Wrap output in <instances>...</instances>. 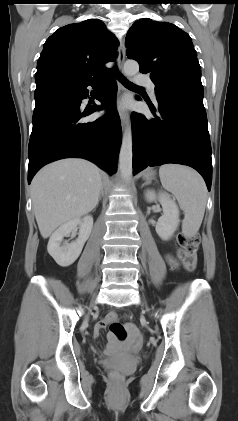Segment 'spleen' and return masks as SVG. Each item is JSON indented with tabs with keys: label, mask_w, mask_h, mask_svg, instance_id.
Instances as JSON below:
<instances>
[{
	"label": "spleen",
	"mask_w": 238,
	"mask_h": 421,
	"mask_svg": "<svg viewBox=\"0 0 238 421\" xmlns=\"http://www.w3.org/2000/svg\"><path fill=\"white\" fill-rule=\"evenodd\" d=\"M162 186L177 199L185 217L182 229L186 236L199 230L207 202V189L203 178L192 168L178 164L160 166Z\"/></svg>",
	"instance_id": "obj_1"
}]
</instances>
